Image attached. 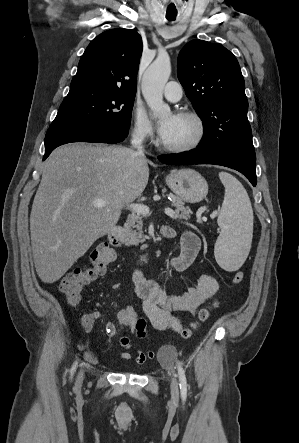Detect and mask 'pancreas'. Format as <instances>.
Wrapping results in <instances>:
<instances>
[{
	"instance_id": "pancreas-1",
	"label": "pancreas",
	"mask_w": 299,
	"mask_h": 443,
	"mask_svg": "<svg viewBox=\"0 0 299 443\" xmlns=\"http://www.w3.org/2000/svg\"><path fill=\"white\" fill-rule=\"evenodd\" d=\"M172 206L175 207L174 219H188L190 218L192 211L185 203L177 196L171 195ZM140 214H130L124 224L123 234L121 240L128 245H138L145 242L146 236H144L142 227L143 220Z\"/></svg>"
}]
</instances>
